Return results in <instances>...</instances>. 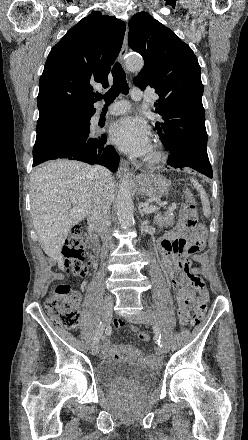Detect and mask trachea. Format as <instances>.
Here are the masks:
<instances>
[{
	"mask_svg": "<svg viewBox=\"0 0 248 440\" xmlns=\"http://www.w3.org/2000/svg\"><path fill=\"white\" fill-rule=\"evenodd\" d=\"M112 76H113V85L109 89V91L105 95L97 94L95 96L97 100L104 99L106 103L105 106L111 104L120 93L128 94L129 92L128 83L126 81V75L120 63L116 62L115 65L113 66Z\"/></svg>",
	"mask_w": 248,
	"mask_h": 440,
	"instance_id": "trachea-1",
	"label": "trachea"
}]
</instances>
